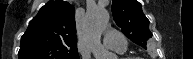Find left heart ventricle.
Instances as JSON below:
<instances>
[{"label":"left heart ventricle","instance_id":"obj_1","mask_svg":"<svg viewBox=\"0 0 193 59\" xmlns=\"http://www.w3.org/2000/svg\"><path fill=\"white\" fill-rule=\"evenodd\" d=\"M107 51H108V52H111V53H115V50H113V49H109V48H108Z\"/></svg>","mask_w":193,"mask_h":59}]
</instances>
